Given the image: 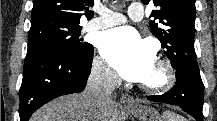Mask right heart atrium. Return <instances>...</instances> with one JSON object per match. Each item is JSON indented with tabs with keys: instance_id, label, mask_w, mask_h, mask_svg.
Here are the masks:
<instances>
[{
	"instance_id": "d8ad5b80",
	"label": "right heart atrium",
	"mask_w": 217,
	"mask_h": 121,
	"mask_svg": "<svg viewBox=\"0 0 217 121\" xmlns=\"http://www.w3.org/2000/svg\"><path fill=\"white\" fill-rule=\"evenodd\" d=\"M93 75L101 82L114 84L117 81L116 74L101 57H95L92 64Z\"/></svg>"
}]
</instances>
